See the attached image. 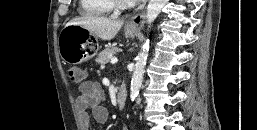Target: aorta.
I'll use <instances>...</instances> for the list:
<instances>
[{
	"label": "aorta",
	"instance_id": "aorta-1",
	"mask_svg": "<svg viewBox=\"0 0 257 130\" xmlns=\"http://www.w3.org/2000/svg\"><path fill=\"white\" fill-rule=\"evenodd\" d=\"M167 0H150L149 4L147 6V22L148 24H151L157 16L160 14L162 8L166 4ZM148 41L143 46V49L138 54L136 58L135 68L131 79V86H130V98L132 101H134L140 91L143 76H144V70L145 65L147 61L148 56V47H147Z\"/></svg>",
	"mask_w": 257,
	"mask_h": 130
}]
</instances>
